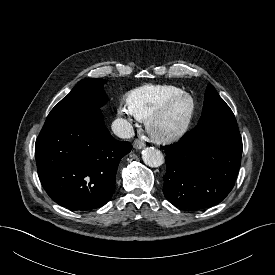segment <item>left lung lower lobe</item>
I'll use <instances>...</instances> for the list:
<instances>
[{
	"instance_id": "left-lung-lower-lobe-1",
	"label": "left lung lower lobe",
	"mask_w": 275,
	"mask_h": 275,
	"mask_svg": "<svg viewBox=\"0 0 275 275\" xmlns=\"http://www.w3.org/2000/svg\"><path fill=\"white\" fill-rule=\"evenodd\" d=\"M203 133L195 129L161 146L167 165L163 193L174 206L205 209L223 201L234 187L241 164L240 133Z\"/></svg>"
}]
</instances>
